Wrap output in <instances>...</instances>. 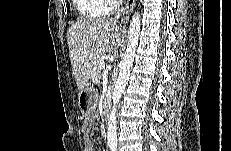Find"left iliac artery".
<instances>
[{
  "instance_id": "1",
  "label": "left iliac artery",
  "mask_w": 231,
  "mask_h": 151,
  "mask_svg": "<svg viewBox=\"0 0 231 151\" xmlns=\"http://www.w3.org/2000/svg\"><path fill=\"white\" fill-rule=\"evenodd\" d=\"M110 148H111L112 151H116L117 150V145H111Z\"/></svg>"
}]
</instances>
